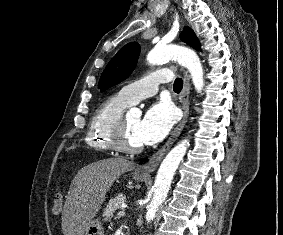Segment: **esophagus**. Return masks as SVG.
<instances>
[{
	"instance_id": "obj_1",
	"label": "esophagus",
	"mask_w": 283,
	"mask_h": 235,
	"mask_svg": "<svg viewBox=\"0 0 283 235\" xmlns=\"http://www.w3.org/2000/svg\"><path fill=\"white\" fill-rule=\"evenodd\" d=\"M189 96H190V78L187 71H184V84L180 95V104L183 111V117L180 123L173 130L168 140L150 157L149 161L140 166L137 171L143 175H150L156 170L159 163L175 143L181 134L189 117Z\"/></svg>"
}]
</instances>
